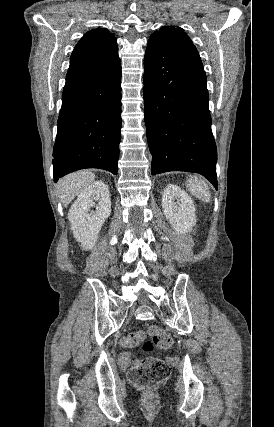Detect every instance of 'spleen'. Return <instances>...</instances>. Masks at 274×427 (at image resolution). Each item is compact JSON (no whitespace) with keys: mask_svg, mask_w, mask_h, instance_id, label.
Instances as JSON below:
<instances>
[{"mask_svg":"<svg viewBox=\"0 0 274 427\" xmlns=\"http://www.w3.org/2000/svg\"><path fill=\"white\" fill-rule=\"evenodd\" d=\"M187 182L188 192H190L192 196H196V198H199L202 202H209L210 190L208 184H206L204 180H199L196 176H189Z\"/></svg>","mask_w":274,"mask_h":427,"instance_id":"obj_1","label":"spleen"}]
</instances>
